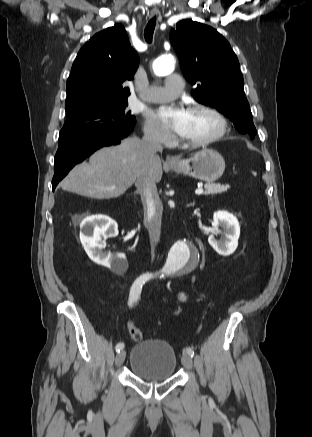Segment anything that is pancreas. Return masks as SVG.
Listing matches in <instances>:
<instances>
[{"instance_id":"1","label":"pancreas","mask_w":312,"mask_h":437,"mask_svg":"<svg viewBox=\"0 0 312 437\" xmlns=\"http://www.w3.org/2000/svg\"><path fill=\"white\" fill-rule=\"evenodd\" d=\"M205 188H206V191L204 192L205 195H216L226 192L229 189V185L208 183L205 185Z\"/></svg>"}]
</instances>
